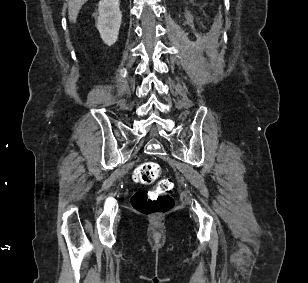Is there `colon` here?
Segmentation results:
<instances>
[{
  "instance_id": "5ec220e1",
  "label": "colon",
  "mask_w": 308,
  "mask_h": 283,
  "mask_svg": "<svg viewBox=\"0 0 308 283\" xmlns=\"http://www.w3.org/2000/svg\"><path fill=\"white\" fill-rule=\"evenodd\" d=\"M162 173L155 162L141 163L133 173L136 183L149 185L157 181ZM174 184L171 179L164 178L157 182L151 190H139L132 199L133 208L145 215H156L168 212L174 205L172 198Z\"/></svg>"
}]
</instances>
